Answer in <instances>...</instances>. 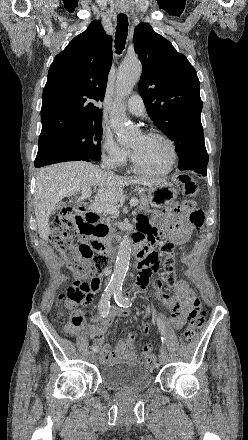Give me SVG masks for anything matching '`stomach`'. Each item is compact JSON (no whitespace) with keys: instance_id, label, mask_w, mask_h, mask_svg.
I'll return each mask as SVG.
<instances>
[{"instance_id":"1","label":"stomach","mask_w":248,"mask_h":440,"mask_svg":"<svg viewBox=\"0 0 248 440\" xmlns=\"http://www.w3.org/2000/svg\"><path fill=\"white\" fill-rule=\"evenodd\" d=\"M147 193L146 197L151 206L156 208H163L175 201L178 192L176 188L168 182L162 181L148 185L145 188ZM112 231V224L109 223L107 218H100L98 223L95 224L94 235L97 241H108V232ZM82 239L86 238L85 234L81 235Z\"/></svg>"}]
</instances>
